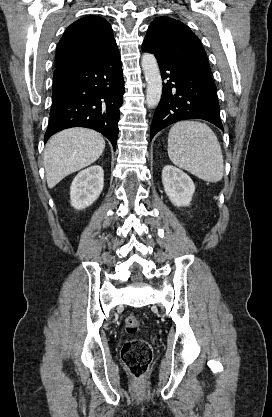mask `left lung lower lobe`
I'll list each match as a JSON object with an SVG mask.
<instances>
[{
  "label": "left lung lower lobe",
  "instance_id": "obj_1",
  "mask_svg": "<svg viewBox=\"0 0 272 417\" xmlns=\"http://www.w3.org/2000/svg\"><path fill=\"white\" fill-rule=\"evenodd\" d=\"M157 60L167 82L163 84L162 98L153 117L150 139L163 128L187 119L206 120L223 130L211 73L172 59Z\"/></svg>",
  "mask_w": 272,
  "mask_h": 417
}]
</instances>
